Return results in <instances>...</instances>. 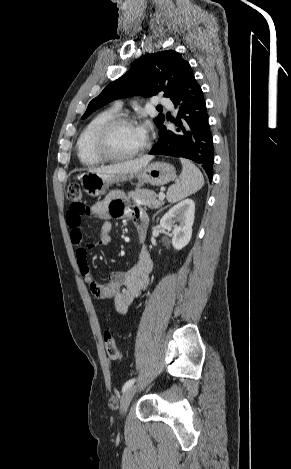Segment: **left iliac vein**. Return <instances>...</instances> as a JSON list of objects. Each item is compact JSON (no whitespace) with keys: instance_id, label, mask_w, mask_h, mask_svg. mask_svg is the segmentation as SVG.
<instances>
[{"instance_id":"left-iliac-vein-1","label":"left iliac vein","mask_w":291,"mask_h":469,"mask_svg":"<svg viewBox=\"0 0 291 469\" xmlns=\"http://www.w3.org/2000/svg\"><path fill=\"white\" fill-rule=\"evenodd\" d=\"M136 388L135 387H130L125 391V393L122 395L121 398V407H120V412L121 415H124L128 409V406L135 394Z\"/></svg>"}]
</instances>
